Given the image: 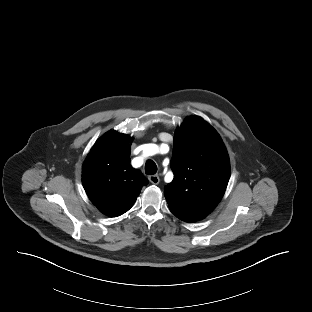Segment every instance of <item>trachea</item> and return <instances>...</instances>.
<instances>
[{
	"instance_id": "1",
	"label": "trachea",
	"mask_w": 312,
	"mask_h": 312,
	"mask_svg": "<svg viewBox=\"0 0 312 312\" xmlns=\"http://www.w3.org/2000/svg\"><path fill=\"white\" fill-rule=\"evenodd\" d=\"M157 172V166L154 161L148 160L145 164V173L148 175H154Z\"/></svg>"
}]
</instances>
